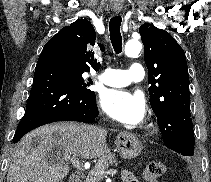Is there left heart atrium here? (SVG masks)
<instances>
[{"label": "left heart atrium", "mask_w": 211, "mask_h": 182, "mask_svg": "<svg viewBox=\"0 0 211 182\" xmlns=\"http://www.w3.org/2000/svg\"><path fill=\"white\" fill-rule=\"evenodd\" d=\"M100 103L111 118L125 125H137L145 117L144 99L127 90L107 89L101 94Z\"/></svg>", "instance_id": "obj_1"}]
</instances>
